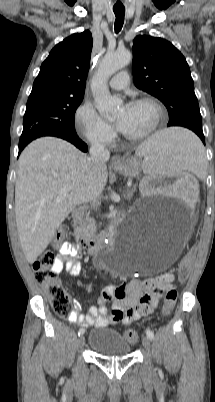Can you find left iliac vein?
Here are the masks:
<instances>
[{
    "instance_id": "4c4485c4",
    "label": "left iliac vein",
    "mask_w": 215,
    "mask_h": 402,
    "mask_svg": "<svg viewBox=\"0 0 215 402\" xmlns=\"http://www.w3.org/2000/svg\"><path fill=\"white\" fill-rule=\"evenodd\" d=\"M142 343L147 352L151 351V343L148 336H143Z\"/></svg>"
}]
</instances>
